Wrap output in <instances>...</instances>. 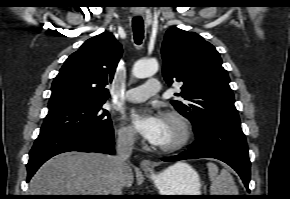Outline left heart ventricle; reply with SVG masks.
<instances>
[{"instance_id": "left-heart-ventricle-1", "label": "left heart ventricle", "mask_w": 290, "mask_h": 199, "mask_svg": "<svg viewBox=\"0 0 290 199\" xmlns=\"http://www.w3.org/2000/svg\"><path fill=\"white\" fill-rule=\"evenodd\" d=\"M181 137V130L179 126L173 122L172 120L164 117V127L163 132L160 138V141L157 143L158 146H168L176 141H178Z\"/></svg>"}]
</instances>
